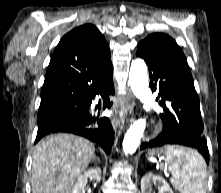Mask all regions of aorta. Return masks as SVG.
<instances>
[{"label":"aorta","instance_id":"obj_1","mask_svg":"<svg viewBox=\"0 0 221 193\" xmlns=\"http://www.w3.org/2000/svg\"><path fill=\"white\" fill-rule=\"evenodd\" d=\"M129 84L134 95L143 103L145 111H150L153 105V95L149 89L148 69L142 59H135L131 63ZM146 127L145 119H138L127 130L122 143L125 154H133L141 141Z\"/></svg>","mask_w":221,"mask_h":193}]
</instances>
